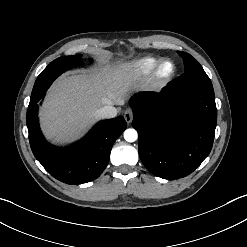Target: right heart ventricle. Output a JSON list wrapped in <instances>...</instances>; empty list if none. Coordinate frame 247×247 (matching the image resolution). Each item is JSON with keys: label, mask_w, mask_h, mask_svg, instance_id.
Here are the masks:
<instances>
[{"label": "right heart ventricle", "mask_w": 247, "mask_h": 247, "mask_svg": "<svg viewBox=\"0 0 247 247\" xmlns=\"http://www.w3.org/2000/svg\"><path fill=\"white\" fill-rule=\"evenodd\" d=\"M160 60H161L160 58L146 56L134 60L130 63L124 64L121 68L130 77H133L135 79H142L152 74L154 68L159 63Z\"/></svg>", "instance_id": "e07e8e85"}]
</instances>
